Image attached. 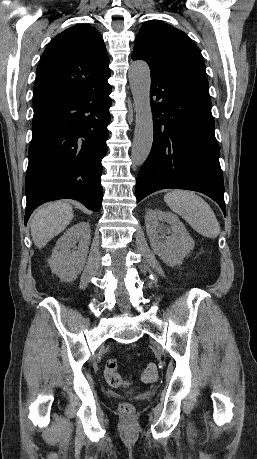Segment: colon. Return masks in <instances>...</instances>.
<instances>
[{
	"instance_id": "1",
	"label": "colon",
	"mask_w": 257,
	"mask_h": 459,
	"mask_svg": "<svg viewBox=\"0 0 257 459\" xmlns=\"http://www.w3.org/2000/svg\"><path fill=\"white\" fill-rule=\"evenodd\" d=\"M118 364L113 358L108 359L104 365V376L111 387L120 388L126 387L128 382L122 377L117 371ZM157 366L155 363L147 364L140 375L141 381L144 383H150L157 378ZM120 411L125 415H132L134 413V407L130 403H122L120 405Z\"/></svg>"
}]
</instances>
